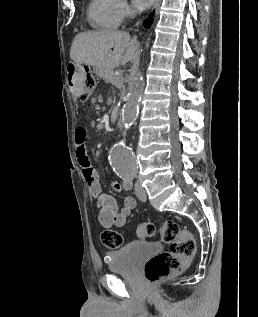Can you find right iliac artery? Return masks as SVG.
Masks as SVG:
<instances>
[{
    "label": "right iliac artery",
    "instance_id": "obj_1",
    "mask_svg": "<svg viewBox=\"0 0 258 317\" xmlns=\"http://www.w3.org/2000/svg\"><path fill=\"white\" fill-rule=\"evenodd\" d=\"M123 187L126 191L131 190L132 182L130 178H123Z\"/></svg>",
    "mask_w": 258,
    "mask_h": 317
}]
</instances>
